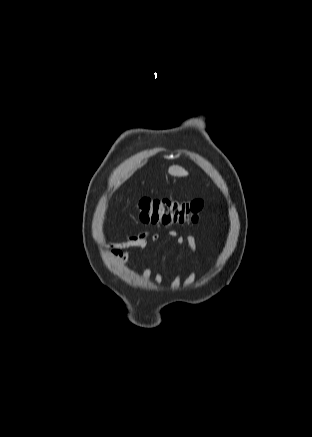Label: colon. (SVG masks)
<instances>
[{"label": "colon", "instance_id": "obj_1", "mask_svg": "<svg viewBox=\"0 0 312 437\" xmlns=\"http://www.w3.org/2000/svg\"><path fill=\"white\" fill-rule=\"evenodd\" d=\"M204 206L202 200L142 198L137 202L136 209L142 223L171 225L197 223Z\"/></svg>", "mask_w": 312, "mask_h": 437}]
</instances>
